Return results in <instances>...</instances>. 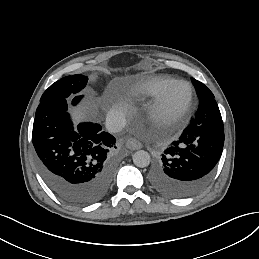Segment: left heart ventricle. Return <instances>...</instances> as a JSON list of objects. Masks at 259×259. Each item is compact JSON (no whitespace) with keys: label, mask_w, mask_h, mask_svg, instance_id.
Segmentation results:
<instances>
[{"label":"left heart ventricle","mask_w":259,"mask_h":259,"mask_svg":"<svg viewBox=\"0 0 259 259\" xmlns=\"http://www.w3.org/2000/svg\"><path fill=\"white\" fill-rule=\"evenodd\" d=\"M146 89L158 117L167 120L186 106L191 96L188 85L182 81L161 83L151 78L146 82Z\"/></svg>","instance_id":"1"}]
</instances>
